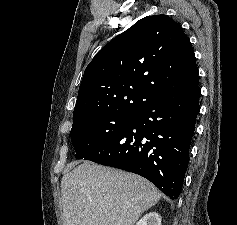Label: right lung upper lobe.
I'll return each mask as SVG.
<instances>
[{"instance_id":"1","label":"right lung upper lobe","mask_w":237,"mask_h":225,"mask_svg":"<svg viewBox=\"0 0 237 225\" xmlns=\"http://www.w3.org/2000/svg\"><path fill=\"white\" fill-rule=\"evenodd\" d=\"M198 85L195 54L167 15L147 16L92 59L79 87L73 122L105 113H137L161 95Z\"/></svg>"}]
</instances>
